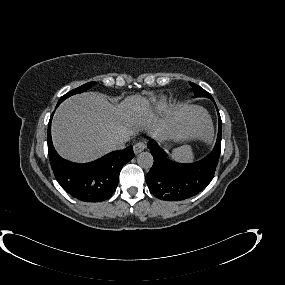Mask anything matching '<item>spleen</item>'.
I'll use <instances>...</instances> for the list:
<instances>
[{"mask_svg": "<svg viewBox=\"0 0 285 285\" xmlns=\"http://www.w3.org/2000/svg\"><path fill=\"white\" fill-rule=\"evenodd\" d=\"M200 123L205 126L208 123V116L205 112L201 115ZM172 157L179 162L190 163L194 161L195 156L191 146L184 145L174 149L172 151Z\"/></svg>", "mask_w": 285, "mask_h": 285, "instance_id": "obj_1", "label": "spleen"}]
</instances>
